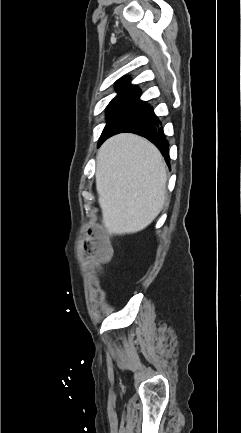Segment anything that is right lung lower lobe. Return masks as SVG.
I'll return each instance as SVG.
<instances>
[{
  "label": "right lung lower lobe",
  "instance_id": "right-lung-lower-lobe-1",
  "mask_svg": "<svg viewBox=\"0 0 241 433\" xmlns=\"http://www.w3.org/2000/svg\"><path fill=\"white\" fill-rule=\"evenodd\" d=\"M159 124L160 121L154 114L152 107H149L141 116H139L135 121H133L121 132H132L147 138L158 147L161 153L165 156L167 164H169V144L164 136L163 129L159 128ZM110 136H108L107 138H109Z\"/></svg>",
  "mask_w": 241,
  "mask_h": 433
}]
</instances>
